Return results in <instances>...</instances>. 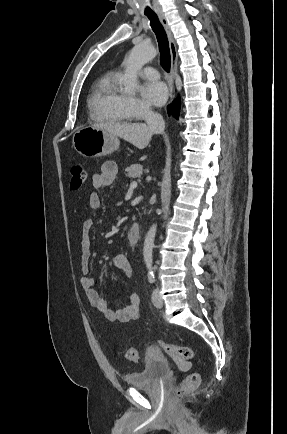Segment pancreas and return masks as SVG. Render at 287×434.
<instances>
[{
	"mask_svg": "<svg viewBox=\"0 0 287 434\" xmlns=\"http://www.w3.org/2000/svg\"><path fill=\"white\" fill-rule=\"evenodd\" d=\"M126 177L128 178H136L140 177L143 172V167L139 164L130 165V167L126 168Z\"/></svg>",
	"mask_w": 287,
	"mask_h": 434,
	"instance_id": "obj_1",
	"label": "pancreas"
}]
</instances>
